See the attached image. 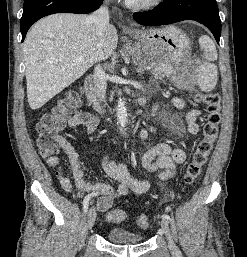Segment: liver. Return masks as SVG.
I'll list each match as a JSON object with an SVG mask.
<instances>
[{
    "instance_id": "6515ba94",
    "label": "liver",
    "mask_w": 247,
    "mask_h": 257,
    "mask_svg": "<svg viewBox=\"0 0 247 257\" xmlns=\"http://www.w3.org/2000/svg\"><path fill=\"white\" fill-rule=\"evenodd\" d=\"M89 16L58 13L39 20L23 46L27 97L32 110L79 79L94 63L109 58L118 44L109 24L99 36ZM82 57L83 61H76Z\"/></svg>"
}]
</instances>
